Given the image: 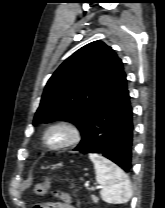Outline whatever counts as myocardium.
<instances>
[{
    "label": "myocardium",
    "mask_w": 165,
    "mask_h": 208,
    "mask_svg": "<svg viewBox=\"0 0 165 208\" xmlns=\"http://www.w3.org/2000/svg\"><path fill=\"white\" fill-rule=\"evenodd\" d=\"M55 130L64 131L66 138L60 143L50 144L48 142V136ZM82 138L83 133L79 126L70 121L59 120L49 124L46 127L42 135V142L48 150L59 151L77 145Z\"/></svg>",
    "instance_id": "1"
}]
</instances>
